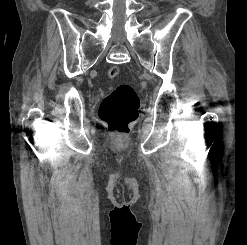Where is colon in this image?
Here are the masks:
<instances>
[{
	"instance_id": "colon-1",
	"label": "colon",
	"mask_w": 247,
	"mask_h": 245,
	"mask_svg": "<svg viewBox=\"0 0 247 245\" xmlns=\"http://www.w3.org/2000/svg\"><path fill=\"white\" fill-rule=\"evenodd\" d=\"M120 70L116 66L108 69V77L116 79ZM140 101L133 87L127 84L117 86L101 102L98 115L113 132H126L137 120Z\"/></svg>"
}]
</instances>
